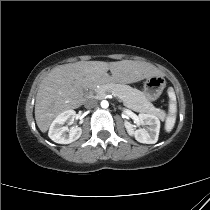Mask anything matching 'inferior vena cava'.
Masks as SVG:
<instances>
[{"mask_svg": "<svg viewBox=\"0 0 210 210\" xmlns=\"http://www.w3.org/2000/svg\"><path fill=\"white\" fill-rule=\"evenodd\" d=\"M98 101L96 99H89L85 102V107L86 108H93L97 106Z\"/></svg>", "mask_w": 210, "mask_h": 210, "instance_id": "1", "label": "inferior vena cava"}]
</instances>
